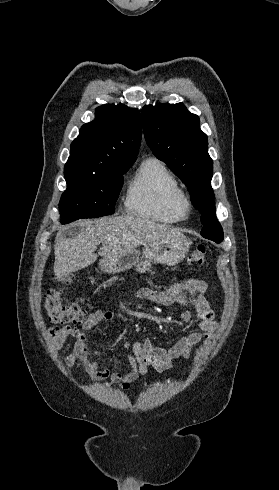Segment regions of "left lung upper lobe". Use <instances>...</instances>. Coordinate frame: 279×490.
<instances>
[{
  "instance_id": "5c2ea615",
  "label": "left lung upper lobe",
  "mask_w": 279,
  "mask_h": 490,
  "mask_svg": "<svg viewBox=\"0 0 279 490\" xmlns=\"http://www.w3.org/2000/svg\"><path fill=\"white\" fill-rule=\"evenodd\" d=\"M142 118L148 146L188 187L191 201L201 213L204 225L201 235L216 243L222 242L223 229L215 215L211 187L213 161L199 117L181 103H166L144 106Z\"/></svg>"
}]
</instances>
